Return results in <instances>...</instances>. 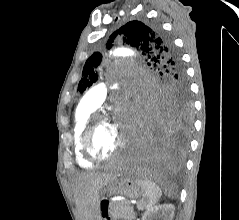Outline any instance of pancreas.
Instances as JSON below:
<instances>
[{"mask_svg": "<svg viewBox=\"0 0 239 220\" xmlns=\"http://www.w3.org/2000/svg\"><path fill=\"white\" fill-rule=\"evenodd\" d=\"M109 215L117 220H134L136 214L133 207L124 201H114L109 204Z\"/></svg>", "mask_w": 239, "mask_h": 220, "instance_id": "pancreas-1", "label": "pancreas"}]
</instances>
